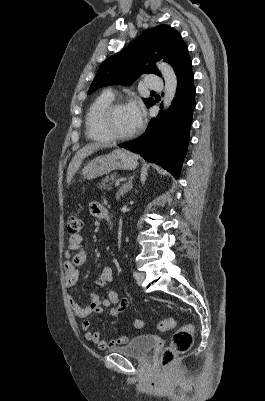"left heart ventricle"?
Segmentation results:
<instances>
[{
    "mask_svg": "<svg viewBox=\"0 0 265 401\" xmlns=\"http://www.w3.org/2000/svg\"><path fill=\"white\" fill-rule=\"evenodd\" d=\"M109 124L111 131L116 135H126L135 129L127 105L116 109L110 118Z\"/></svg>",
    "mask_w": 265,
    "mask_h": 401,
    "instance_id": "1",
    "label": "left heart ventricle"
}]
</instances>
